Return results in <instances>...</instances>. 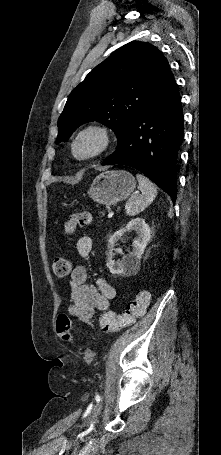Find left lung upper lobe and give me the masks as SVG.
Instances as JSON below:
<instances>
[{"instance_id": "obj_1", "label": "left lung upper lobe", "mask_w": 221, "mask_h": 455, "mask_svg": "<svg viewBox=\"0 0 221 455\" xmlns=\"http://www.w3.org/2000/svg\"><path fill=\"white\" fill-rule=\"evenodd\" d=\"M171 76L167 59L153 45L133 41L117 49L69 95L58 119L56 143L89 121L109 126L119 143Z\"/></svg>"}]
</instances>
